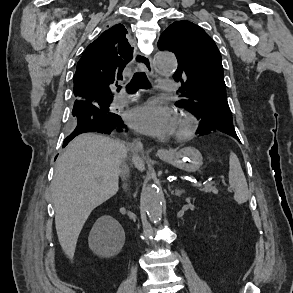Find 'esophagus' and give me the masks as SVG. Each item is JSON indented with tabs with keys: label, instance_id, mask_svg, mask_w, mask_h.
<instances>
[{
	"label": "esophagus",
	"instance_id": "1",
	"mask_svg": "<svg viewBox=\"0 0 293 293\" xmlns=\"http://www.w3.org/2000/svg\"><path fill=\"white\" fill-rule=\"evenodd\" d=\"M134 60L141 68H143L148 74H153V65L151 57L141 53L137 52L134 56ZM158 156L165 157L170 155V151L167 149H159L157 151Z\"/></svg>",
	"mask_w": 293,
	"mask_h": 293
}]
</instances>
